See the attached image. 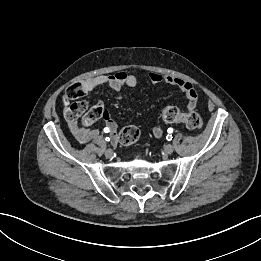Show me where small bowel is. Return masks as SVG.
<instances>
[{
    "label": "small bowel",
    "mask_w": 261,
    "mask_h": 261,
    "mask_svg": "<svg viewBox=\"0 0 261 261\" xmlns=\"http://www.w3.org/2000/svg\"><path fill=\"white\" fill-rule=\"evenodd\" d=\"M149 79L154 84L166 83L174 87H177L185 94L187 98V109L189 111L195 109L198 103L199 96L197 90L194 88V86L191 83L178 77H174L170 75H162L156 72L149 73ZM80 84L82 86L84 94L93 91L99 86L107 85L117 93L118 97H121V91L123 87L127 86L133 88L137 85V77L133 74L120 71L111 75H100L91 79H87L82 81ZM97 104L104 112V119L106 124L105 128L109 129L112 139L115 142L117 124L109 116L104 106L101 103H97ZM68 112H69V107L66 108L65 110V117L69 124L70 130L73 136L76 138V140H78L80 143H86L99 136V130L89 127L92 124L91 122H88L83 118V125H79L77 118L70 117ZM153 132L155 137L157 138L163 135V129L161 127L155 128Z\"/></svg>",
    "instance_id": "1"
}]
</instances>
